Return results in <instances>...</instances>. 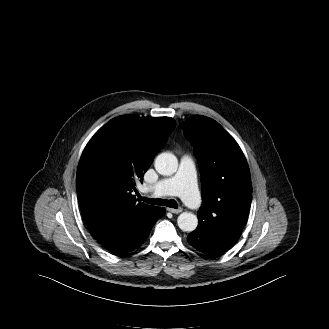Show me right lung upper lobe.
<instances>
[{
	"instance_id": "cb5924a9",
	"label": "right lung upper lobe",
	"mask_w": 329,
	"mask_h": 329,
	"mask_svg": "<svg viewBox=\"0 0 329 329\" xmlns=\"http://www.w3.org/2000/svg\"><path fill=\"white\" fill-rule=\"evenodd\" d=\"M176 122L169 117H116L86 145L78 165L76 188L89 228L112 215H132L154 206L137 203L131 192L155 155L164 148Z\"/></svg>"
}]
</instances>
